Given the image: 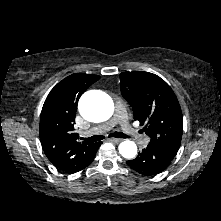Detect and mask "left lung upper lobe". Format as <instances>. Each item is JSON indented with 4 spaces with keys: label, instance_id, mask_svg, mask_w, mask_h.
Returning <instances> with one entry per match:
<instances>
[{
    "label": "left lung upper lobe",
    "instance_id": "left-lung-upper-lobe-1",
    "mask_svg": "<svg viewBox=\"0 0 221 221\" xmlns=\"http://www.w3.org/2000/svg\"><path fill=\"white\" fill-rule=\"evenodd\" d=\"M122 96L133 108L134 120L146 123L149 145L177 154L183 133V118L176 95L159 76L148 72L120 74Z\"/></svg>",
    "mask_w": 221,
    "mask_h": 221
}]
</instances>
